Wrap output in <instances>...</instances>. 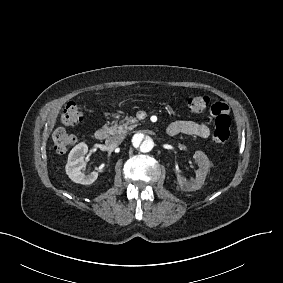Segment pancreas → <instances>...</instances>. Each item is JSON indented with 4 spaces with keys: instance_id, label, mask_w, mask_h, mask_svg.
<instances>
[{
    "instance_id": "obj_1",
    "label": "pancreas",
    "mask_w": 283,
    "mask_h": 283,
    "mask_svg": "<svg viewBox=\"0 0 283 283\" xmlns=\"http://www.w3.org/2000/svg\"><path fill=\"white\" fill-rule=\"evenodd\" d=\"M138 125V120L134 117H129L126 119V122L124 123H114L111 127H108L107 125L104 126V128L108 131L111 135H124L127 133V131L134 129Z\"/></svg>"
}]
</instances>
